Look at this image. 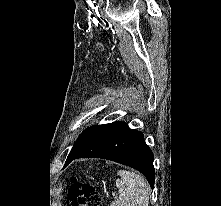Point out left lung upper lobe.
Segmentation results:
<instances>
[{
  "instance_id": "5c2ea615",
  "label": "left lung upper lobe",
  "mask_w": 221,
  "mask_h": 206,
  "mask_svg": "<svg viewBox=\"0 0 221 206\" xmlns=\"http://www.w3.org/2000/svg\"><path fill=\"white\" fill-rule=\"evenodd\" d=\"M109 124L96 125L90 128H87L85 131L81 133L77 141L75 142L73 148L71 149L69 156L67 159L77 155L80 151H82L86 146H88L97 136H99L105 128H107Z\"/></svg>"
}]
</instances>
